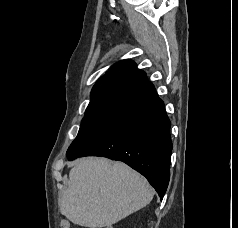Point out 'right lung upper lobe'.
<instances>
[{"instance_id": "cb5924a9", "label": "right lung upper lobe", "mask_w": 238, "mask_h": 228, "mask_svg": "<svg viewBox=\"0 0 238 228\" xmlns=\"http://www.w3.org/2000/svg\"><path fill=\"white\" fill-rule=\"evenodd\" d=\"M158 98L144 71L134 61L115 63L96 82L85 113L123 115Z\"/></svg>"}]
</instances>
